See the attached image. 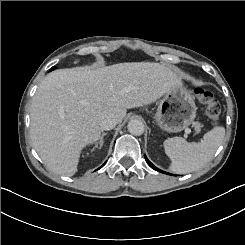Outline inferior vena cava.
Masks as SVG:
<instances>
[{
    "label": "inferior vena cava",
    "instance_id": "obj_1",
    "mask_svg": "<svg viewBox=\"0 0 245 245\" xmlns=\"http://www.w3.org/2000/svg\"><path fill=\"white\" fill-rule=\"evenodd\" d=\"M98 123L102 130H110L115 127L116 120L111 114H103L100 116Z\"/></svg>",
    "mask_w": 245,
    "mask_h": 245
}]
</instances>
